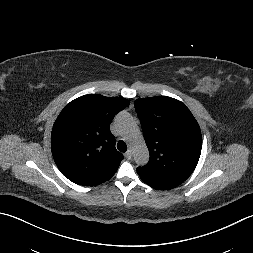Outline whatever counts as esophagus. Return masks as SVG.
I'll return each mask as SVG.
<instances>
[{
  "instance_id": "esophagus-1",
  "label": "esophagus",
  "mask_w": 253,
  "mask_h": 253,
  "mask_svg": "<svg viewBox=\"0 0 253 253\" xmlns=\"http://www.w3.org/2000/svg\"><path fill=\"white\" fill-rule=\"evenodd\" d=\"M126 159H131L132 158V152L130 150H128L125 154H124Z\"/></svg>"
}]
</instances>
